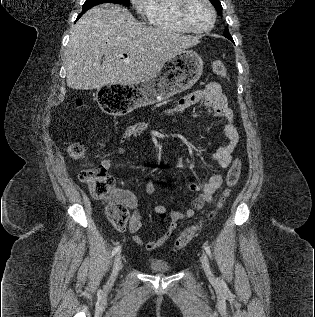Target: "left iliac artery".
<instances>
[{
    "label": "left iliac artery",
    "mask_w": 315,
    "mask_h": 317,
    "mask_svg": "<svg viewBox=\"0 0 315 317\" xmlns=\"http://www.w3.org/2000/svg\"><path fill=\"white\" fill-rule=\"evenodd\" d=\"M204 249H205L206 253L208 254V256L211 258L212 253H211L210 247L208 245H204Z\"/></svg>",
    "instance_id": "obj_1"
}]
</instances>
